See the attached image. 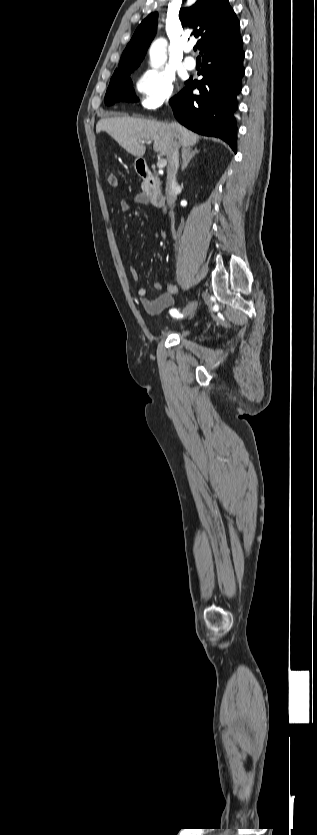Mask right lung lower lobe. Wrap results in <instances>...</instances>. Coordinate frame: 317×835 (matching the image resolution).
Returning a JSON list of instances; mask_svg holds the SVG:
<instances>
[{"label":"right lung lower lobe","mask_w":317,"mask_h":835,"mask_svg":"<svg viewBox=\"0 0 317 835\" xmlns=\"http://www.w3.org/2000/svg\"><path fill=\"white\" fill-rule=\"evenodd\" d=\"M242 38L215 43L204 50L202 80L189 79L188 85L170 100L176 119L187 128L206 136L223 139L236 152L237 133L234 113L244 76ZM197 88L199 95H193Z\"/></svg>","instance_id":"obj_1"}]
</instances>
